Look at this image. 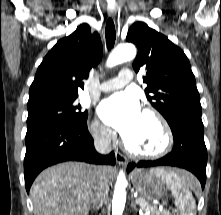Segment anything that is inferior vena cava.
<instances>
[{"instance_id":"602c4592","label":"inferior vena cava","mask_w":221,"mask_h":215,"mask_svg":"<svg viewBox=\"0 0 221 215\" xmlns=\"http://www.w3.org/2000/svg\"><path fill=\"white\" fill-rule=\"evenodd\" d=\"M94 145L96 150L101 154H109L111 152V135L110 130L101 128L95 136ZM95 188L92 196L93 208H100L108 195V184L105 181L102 167H95Z\"/></svg>"}]
</instances>
